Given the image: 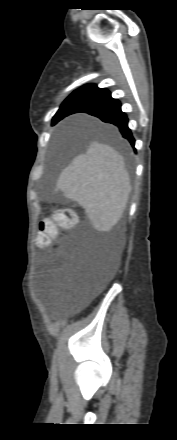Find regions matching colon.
Returning a JSON list of instances; mask_svg holds the SVG:
<instances>
[{
	"label": "colon",
	"mask_w": 177,
	"mask_h": 440,
	"mask_svg": "<svg viewBox=\"0 0 177 440\" xmlns=\"http://www.w3.org/2000/svg\"><path fill=\"white\" fill-rule=\"evenodd\" d=\"M77 223L74 211L59 208L39 223L37 243L40 246H49L57 238L60 229H70Z\"/></svg>",
	"instance_id": "colon-1"
}]
</instances>
